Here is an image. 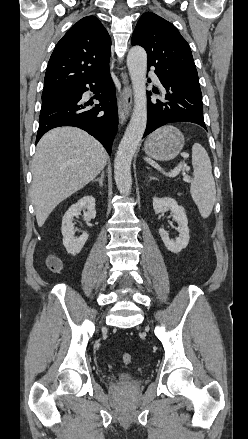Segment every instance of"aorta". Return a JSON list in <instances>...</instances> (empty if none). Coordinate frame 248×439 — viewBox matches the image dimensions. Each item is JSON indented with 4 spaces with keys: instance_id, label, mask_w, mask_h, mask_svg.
<instances>
[{
    "instance_id": "1",
    "label": "aorta",
    "mask_w": 248,
    "mask_h": 439,
    "mask_svg": "<svg viewBox=\"0 0 248 439\" xmlns=\"http://www.w3.org/2000/svg\"><path fill=\"white\" fill-rule=\"evenodd\" d=\"M127 67L133 86L134 108L114 160L116 186L120 194L125 196L131 192V162L147 124V54L142 47L134 46L129 50Z\"/></svg>"
}]
</instances>
